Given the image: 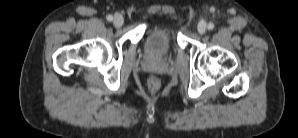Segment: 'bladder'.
Returning a JSON list of instances; mask_svg holds the SVG:
<instances>
[{"instance_id":"31cf9c89","label":"bladder","mask_w":298,"mask_h":138,"mask_svg":"<svg viewBox=\"0 0 298 138\" xmlns=\"http://www.w3.org/2000/svg\"><path fill=\"white\" fill-rule=\"evenodd\" d=\"M174 45L173 31L168 26L162 24L151 27L143 41L144 53L152 60L165 58Z\"/></svg>"}]
</instances>
